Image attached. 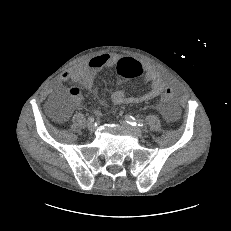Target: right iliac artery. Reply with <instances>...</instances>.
Segmentation results:
<instances>
[{
  "label": "right iliac artery",
  "instance_id": "1",
  "mask_svg": "<svg viewBox=\"0 0 231 231\" xmlns=\"http://www.w3.org/2000/svg\"><path fill=\"white\" fill-rule=\"evenodd\" d=\"M88 121H89V122H93V121H94V118H93V117H89V118H88Z\"/></svg>",
  "mask_w": 231,
  "mask_h": 231
}]
</instances>
